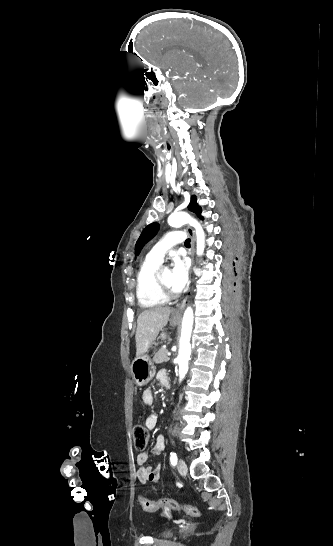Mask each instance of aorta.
Masks as SVG:
<instances>
[{
	"instance_id": "aorta-1",
	"label": "aorta",
	"mask_w": 333,
	"mask_h": 546,
	"mask_svg": "<svg viewBox=\"0 0 333 546\" xmlns=\"http://www.w3.org/2000/svg\"><path fill=\"white\" fill-rule=\"evenodd\" d=\"M187 223L192 225L196 230L197 254L202 255L205 248V233L199 222L185 212L172 213L168 218V224L171 227L177 228ZM193 321V310L191 307H188L183 315L180 347L177 358L179 365V381H182L188 372L189 360L191 356L190 338L193 328Z\"/></svg>"
}]
</instances>
